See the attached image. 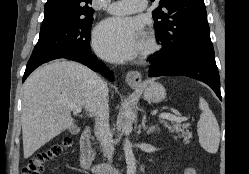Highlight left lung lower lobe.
<instances>
[{"mask_svg": "<svg viewBox=\"0 0 249 174\" xmlns=\"http://www.w3.org/2000/svg\"><path fill=\"white\" fill-rule=\"evenodd\" d=\"M149 76L180 75L208 84L221 99L220 78L213 48L191 52L175 59H167L159 51L150 59Z\"/></svg>", "mask_w": 249, "mask_h": 174, "instance_id": "0a47b994", "label": "left lung lower lobe"}]
</instances>
